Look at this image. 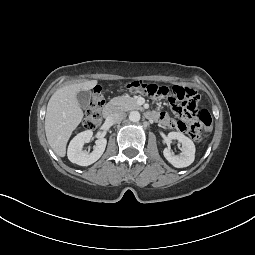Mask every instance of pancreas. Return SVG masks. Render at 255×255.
Segmentation results:
<instances>
[{"label": "pancreas", "instance_id": "obj_1", "mask_svg": "<svg viewBox=\"0 0 255 255\" xmlns=\"http://www.w3.org/2000/svg\"><path fill=\"white\" fill-rule=\"evenodd\" d=\"M110 106L114 109L129 111L133 109H140L135 98L128 95L114 97L109 102Z\"/></svg>", "mask_w": 255, "mask_h": 255}]
</instances>
